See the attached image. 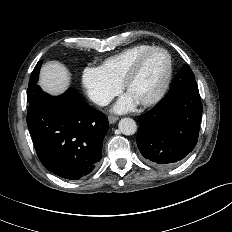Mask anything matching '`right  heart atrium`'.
I'll return each mask as SVG.
<instances>
[{"instance_id": "1", "label": "right heart atrium", "mask_w": 232, "mask_h": 232, "mask_svg": "<svg viewBox=\"0 0 232 232\" xmlns=\"http://www.w3.org/2000/svg\"><path fill=\"white\" fill-rule=\"evenodd\" d=\"M82 85L89 98L100 106L107 105L121 90V84L101 67H86L82 73Z\"/></svg>"}]
</instances>
